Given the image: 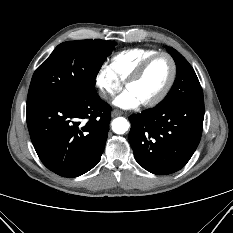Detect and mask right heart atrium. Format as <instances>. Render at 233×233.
Listing matches in <instances>:
<instances>
[{
  "label": "right heart atrium",
  "instance_id": "obj_1",
  "mask_svg": "<svg viewBox=\"0 0 233 233\" xmlns=\"http://www.w3.org/2000/svg\"><path fill=\"white\" fill-rule=\"evenodd\" d=\"M95 83L100 96L104 100H110L122 88V83L114 76L107 65H103L97 72Z\"/></svg>",
  "mask_w": 233,
  "mask_h": 233
}]
</instances>
